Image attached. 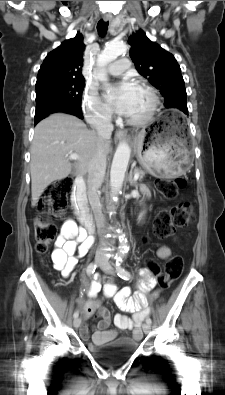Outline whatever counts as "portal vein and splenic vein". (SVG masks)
Masks as SVG:
<instances>
[{
	"label": "portal vein and splenic vein",
	"instance_id": "1",
	"mask_svg": "<svg viewBox=\"0 0 225 395\" xmlns=\"http://www.w3.org/2000/svg\"><path fill=\"white\" fill-rule=\"evenodd\" d=\"M69 159L70 160H77V159H79V156L77 154H75V153H71L70 156H69ZM138 178H139V174L135 173L134 174V179L137 180Z\"/></svg>",
	"mask_w": 225,
	"mask_h": 395
}]
</instances>
